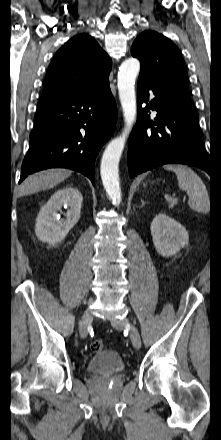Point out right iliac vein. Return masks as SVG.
Returning <instances> with one entry per match:
<instances>
[{"label": "right iliac vein", "instance_id": "obj_1", "mask_svg": "<svg viewBox=\"0 0 221 440\" xmlns=\"http://www.w3.org/2000/svg\"><path fill=\"white\" fill-rule=\"evenodd\" d=\"M92 319V315L90 311H86L80 321V325H79V332H80V336L81 338H85L87 335V328L91 322Z\"/></svg>", "mask_w": 221, "mask_h": 440}]
</instances>
